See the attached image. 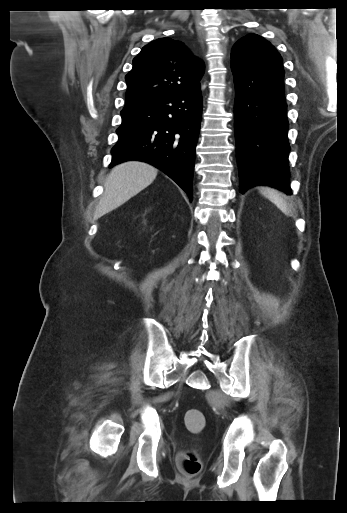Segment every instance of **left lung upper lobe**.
<instances>
[{
    "label": "left lung upper lobe",
    "mask_w": 347,
    "mask_h": 513,
    "mask_svg": "<svg viewBox=\"0 0 347 513\" xmlns=\"http://www.w3.org/2000/svg\"><path fill=\"white\" fill-rule=\"evenodd\" d=\"M232 65L256 72L284 73L279 53L268 41L256 34H248L235 43L231 53Z\"/></svg>",
    "instance_id": "5c2ea615"
}]
</instances>
